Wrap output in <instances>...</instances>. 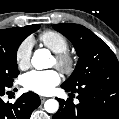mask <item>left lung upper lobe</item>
Segmentation results:
<instances>
[{"label": "left lung upper lobe", "instance_id": "left-lung-upper-lobe-1", "mask_svg": "<svg viewBox=\"0 0 119 119\" xmlns=\"http://www.w3.org/2000/svg\"><path fill=\"white\" fill-rule=\"evenodd\" d=\"M53 28L74 45L79 60L72 75L62 84L78 88L90 83L119 82V63L108 45L79 24H54Z\"/></svg>", "mask_w": 119, "mask_h": 119}]
</instances>
